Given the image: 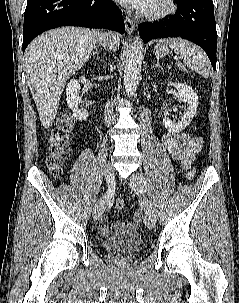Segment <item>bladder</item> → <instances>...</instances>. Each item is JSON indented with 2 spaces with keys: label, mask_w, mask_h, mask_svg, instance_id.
Returning <instances> with one entry per match:
<instances>
[{
  "label": "bladder",
  "mask_w": 239,
  "mask_h": 303,
  "mask_svg": "<svg viewBox=\"0 0 239 303\" xmlns=\"http://www.w3.org/2000/svg\"><path fill=\"white\" fill-rule=\"evenodd\" d=\"M101 246L110 254H132L142 247V238L139 233H126L102 241Z\"/></svg>",
  "instance_id": "bladder-1"
}]
</instances>
